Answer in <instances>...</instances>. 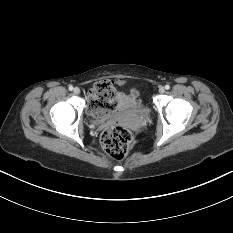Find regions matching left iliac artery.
Returning a JSON list of instances; mask_svg holds the SVG:
<instances>
[{"label":"left iliac artery","instance_id":"44dca946","mask_svg":"<svg viewBox=\"0 0 233 233\" xmlns=\"http://www.w3.org/2000/svg\"><path fill=\"white\" fill-rule=\"evenodd\" d=\"M165 89L166 90H169L170 89V86L167 84V85H165Z\"/></svg>","mask_w":233,"mask_h":233}]
</instances>
